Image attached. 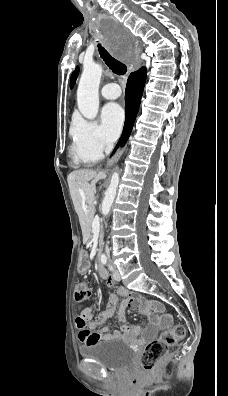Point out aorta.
<instances>
[{
    "label": "aorta",
    "instance_id": "1",
    "mask_svg": "<svg viewBox=\"0 0 228 396\" xmlns=\"http://www.w3.org/2000/svg\"><path fill=\"white\" fill-rule=\"evenodd\" d=\"M102 66L99 64L84 65L83 73L77 90V103L80 113L87 119H94L99 108V84L102 76ZM119 183V173L114 172L111 182L102 201V214L108 216Z\"/></svg>",
    "mask_w": 228,
    "mask_h": 396
}]
</instances>
